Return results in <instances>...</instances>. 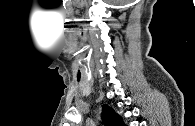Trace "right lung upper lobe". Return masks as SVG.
I'll list each match as a JSON object with an SVG mask.
<instances>
[{"mask_svg": "<svg viewBox=\"0 0 195 126\" xmlns=\"http://www.w3.org/2000/svg\"><path fill=\"white\" fill-rule=\"evenodd\" d=\"M103 120L109 126H125L121 116L108 105H103Z\"/></svg>", "mask_w": 195, "mask_h": 126, "instance_id": "1", "label": "right lung upper lobe"}]
</instances>
